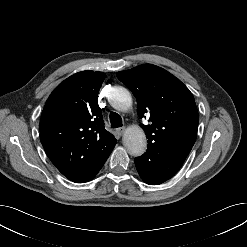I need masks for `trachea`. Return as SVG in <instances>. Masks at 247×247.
Instances as JSON below:
<instances>
[{
  "instance_id": "3493384b",
  "label": "trachea",
  "mask_w": 247,
  "mask_h": 247,
  "mask_svg": "<svg viewBox=\"0 0 247 247\" xmlns=\"http://www.w3.org/2000/svg\"><path fill=\"white\" fill-rule=\"evenodd\" d=\"M109 117L112 128H118L122 126V118L119 114L111 112Z\"/></svg>"
}]
</instances>
